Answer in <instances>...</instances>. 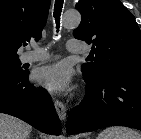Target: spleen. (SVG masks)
Wrapping results in <instances>:
<instances>
[{
    "label": "spleen",
    "mask_w": 141,
    "mask_h": 139,
    "mask_svg": "<svg viewBox=\"0 0 141 139\" xmlns=\"http://www.w3.org/2000/svg\"><path fill=\"white\" fill-rule=\"evenodd\" d=\"M97 139H141V134L130 128L114 126L103 130Z\"/></svg>",
    "instance_id": "obj_1"
}]
</instances>
